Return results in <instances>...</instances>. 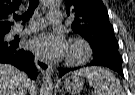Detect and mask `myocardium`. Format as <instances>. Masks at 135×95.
Returning <instances> with one entry per match:
<instances>
[{
  "mask_svg": "<svg viewBox=\"0 0 135 95\" xmlns=\"http://www.w3.org/2000/svg\"><path fill=\"white\" fill-rule=\"evenodd\" d=\"M78 48L79 55H72V50ZM92 54V48L89 42L83 38H73L69 45V51L66 56V63L69 65H79L85 62Z\"/></svg>",
  "mask_w": 135,
  "mask_h": 95,
  "instance_id": "obj_1",
  "label": "myocardium"
}]
</instances>
